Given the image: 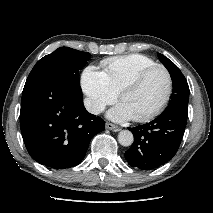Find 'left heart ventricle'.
<instances>
[{"label":"left heart ventricle","mask_w":213,"mask_h":213,"mask_svg":"<svg viewBox=\"0 0 213 213\" xmlns=\"http://www.w3.org/2000/svg\"><path fill=\"white\" fill-rule=\"evenodd\" d=\"M167 76L162 70L148 74L135 88L126 92L122 99L132 117H139L154 109L164 98Z\"/></svg>","instance_id":"1"}]
</instances>
